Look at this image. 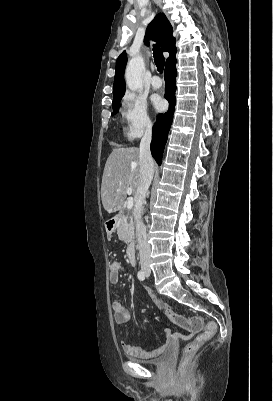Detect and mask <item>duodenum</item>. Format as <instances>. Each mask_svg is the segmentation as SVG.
<instances>
[{
  "label": "duodenum",
  "mask_w": 273,
  "mask_h": 401,
  "mask_svg": "<svg viewBox=\"0 0 273 401\" xmlns=\"http://www.w3.org/2000/svg\"><path fill=\"white\" fill-rule=\"evenodd\" d=\"M119 218H120V215H115L109 219V221L107 222V226H106L108 233H112L114 231ZM127 260L129 262V264L132 266L136 264V247H135V244H133V243H131L128 246Z\"/></svg>",
  "instance_id": "duodenum-1"
}]
</instances>
